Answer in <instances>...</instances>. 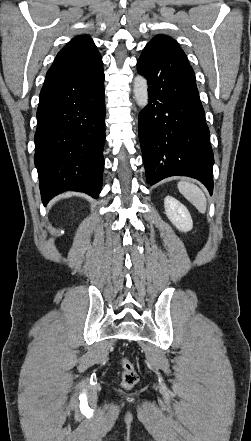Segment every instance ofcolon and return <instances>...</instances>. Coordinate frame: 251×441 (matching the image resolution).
Listing matches in <instances>:
<instances>
[{"label":"colon","instance_id":"obj_1","mask_svg":"<svg viewBox=\"0 0 251 441\" xmlns=\"http://www.w3.org/2000/svg\"><path fill=\"white\" fill-rule=\"evenodd\" d=\"M120 365L122 368L121 385L125 389H131L139 380L138 372L133 363L127 358H121Z\"/></svg>","mask_w":251,"mask_h":441}]
</instances>
